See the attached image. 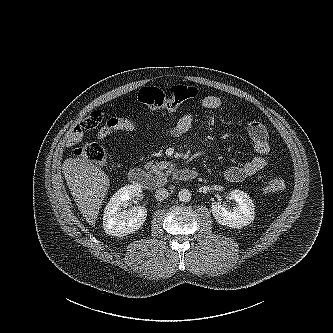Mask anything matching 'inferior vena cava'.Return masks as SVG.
Returning a JSON list of instances; mask_svg holds the SVG:
<instances>
[{
	"label": "inferior vena cava",
	"instance_id": "inferior-vena-cava-1",
	"mask_svg": "<svg viewBox=\"0 0 333 333\" xmlns=\"http://www.w3.org/2000/svg\"><path fill=\"white\" fill-rule=\"evenodd\" d=\"M168 195H169V192L165 188H159L155 192V197L159 201L166 199L168 197Z\"/></svg>",
	"mask_w": 333,
	"mask_h": 333
}]
</instances>
